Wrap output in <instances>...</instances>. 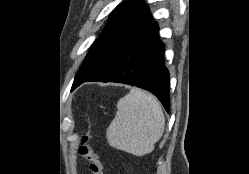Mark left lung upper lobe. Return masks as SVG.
Segmentation results:
<instances>
[{"label": "left lung upper lobe", "mask_w": 249, "mask_h": 174, "mask_svg": "<svg viewBox=\"0 0 249 174\" xmlns=\"http://www.w3.org/2000/svg\"><path fill=\"white\" fill-rule=\"evenodd\" d=\"M153 20L143 0H124L111 13L106 28L90 48L77 73L89 78L105 66L131 37Z\"/></svg>", "instance_id": "1"}]
</instances>
